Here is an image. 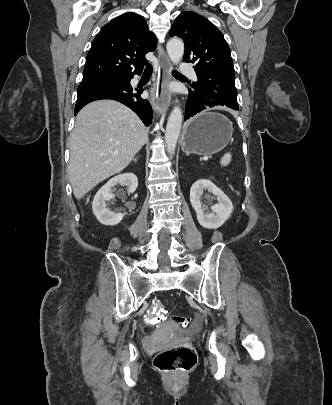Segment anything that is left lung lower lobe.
<instances>
[{
    "instance_id": "obj_1",
    "label": "left lung lower lobe",
    "mask_w": 332,
    "mask_h": 405,
    "mask_svg": "<svg viewBox=\"0 0 332 405\" xmlns=\"http://www.w3.org/2000/svg\"><path fill=\"white\" fill-rule=\"evenodd\" d=\"M206 108H207V106L205 105L203 98L200 96L194 95L189 90L187 108H186V112H185V120L189 119L196 113H199Z\"/></svg>"
}]
</instances>
